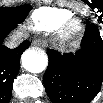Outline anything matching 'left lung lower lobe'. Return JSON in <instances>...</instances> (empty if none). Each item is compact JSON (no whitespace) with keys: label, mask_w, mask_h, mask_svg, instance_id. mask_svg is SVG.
Listing matches in <instances>:
<instances>
[{"label":"left lung lower lobe","mask_w":103,"mask_h":103,"mask_svg":"<svg viewBox=\"0 0 103 103\" xmlns=\"http://www.w3.org/2000/svg\"><path fill=\"white\" fill-rule=\"evenodd\" d=\"M49 65L43 77L48 97L53 103H89L103 82V41L95 24L85 31L81 48L61 55L47 51Z\"/></svg>","instance_id":"left-lung-lower-lobe-1"}]
</instances>
